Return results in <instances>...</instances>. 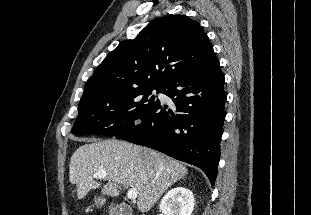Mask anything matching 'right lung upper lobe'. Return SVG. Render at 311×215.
Instances as JSON below:
<instances>
[{
	"mask_svg": "<svg viewBox=\"0 0 311 215\" xmlns=\"http://www.w3.org/2000/svg\"><path fill=\"white\" fill-rule=\"evenodd\" d=\"M216 60L197 21L168 15L148 24L133 40L122 41L87 81L81 100L141 87L164 88Z\"/></svg>",
	"mask_w": 311,
	"mask_h": 215,
	"instance_id": "right-lung-upper-lobe-1",
	"label": "right lung upper lobe"
}]
</instances>
